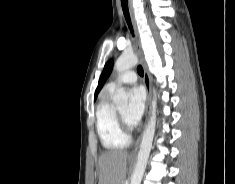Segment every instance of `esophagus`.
<instances>
[{
    "instance_id": "1",
    "label": "esophagus",
    "mask_w": 235,
    "mask_h": 184,
    "mask_svg": "<svg viewBox=\"0 0 235 184\" xmlns=\"http://www.w3.org/2000/svg\"><path fill=\"white\" fill-rule=\"evenodd\" d=\"M129 6H130V16H131V20H132V26H133L134 33L136 36V39L134 42V51H135L136 55L138 56L139 61L142 65V68L144 71L143 82H144V85L146 88V93H147V97H146V122H147L148 114H149V106H150V93H151L150 77H149L146 61L144 59V55H143V51H142V47H141V42H140L138 30H137V24H136L131 0H129ZM141 139H142V134L137 139V141L134 145V148H133L132 152L130 153V156H137Z\"/></svg>"
}]
</instances>
